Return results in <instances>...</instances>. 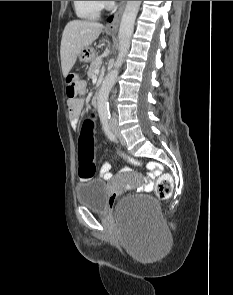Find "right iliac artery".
I'll return each instance as SVG.
<instances>
[{"label": "right iliac artery", "mask_w": 233, "mask_h": 295, "mask_svg": "<svg viewBox=\"0 0 233 295\" xmlns=\"http://www.w3.org/2000/svg\"><path fill=\"white\" fill-rule=\"evenodd\" d=\"M102 123H103L104 131H105L106 135L108 136V138L111 141H115L116 140V137H115V134L110 129L109 125H108V120L107 119H103L102 120Z\"/></svg>", "instance_id": "82829eb1"}]
</instances>
